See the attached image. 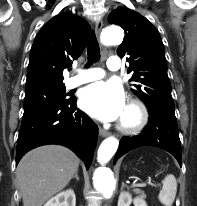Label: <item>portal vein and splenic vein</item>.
<instances>
[{"instance_id": "portal-vein-and-splenic-vein-1", "label": "portal vein and splenic vein", "mask_w": 197, "mask_h": 206, "mask_svg": "<svg viewBox=\"0 0 197 206\" xmlns=\"http://www.w3.org/2000/svg\"><path fill=\"white\" fill-rule=\"evenodd\" d=\"M147 184L152 186V187H157L158 186V184H155V183H152V182H147V183H136V184H133L132 187H145Z\"/></svg>"}]
</instances>
